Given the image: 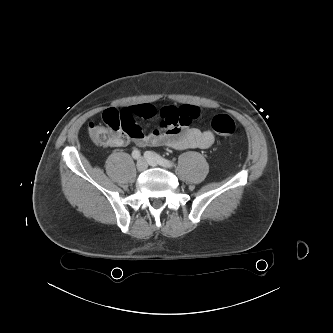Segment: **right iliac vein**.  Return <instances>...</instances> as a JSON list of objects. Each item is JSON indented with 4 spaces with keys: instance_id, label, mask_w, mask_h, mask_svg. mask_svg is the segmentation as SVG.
Returning <instances> with one entry per match:
<instances>
[{
    "instance_id": "right-iliac-vein-1",
    "label": "right iliac vein",
    "mask_w": 333,
    "mask_h": 333,
    "mask_svg": "<svg viewBox=\"0 0 333 333\" xmlns=\"http://www.w3.org/2000/svg\"><path fill=\"white\" fill-rule=\"evenodd\" d=\"M136 166H137V170L139 172H142V171H144L147 168L148 165H147V162H146V160L144 158H140L137 161Z\"/></svg>"
}]
</instances>
